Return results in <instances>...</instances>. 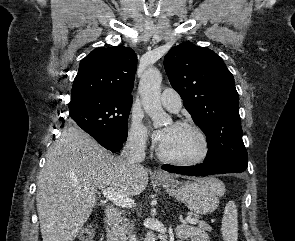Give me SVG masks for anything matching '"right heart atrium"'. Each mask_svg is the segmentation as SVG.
I'll list each match as a JSON object with an SVG mask.
<instances>
[{
  "mask_svg": "<svg viewBox=\"0 0 295 241\" xmlns=\"http://www.w3.org/2000/svg\"><path fill=\"white\" fill-rule=\"evenodd\" d=\"M128 142L138 150H145L148 145V136L141 118L133 114L128 131Z\"/></svg>",
  "mask_w": 295,
  "mask_h": 241,
  "instance_id": "right-heart-atrium-1",
  "label": "right heart atrium"
}]
</instances>
